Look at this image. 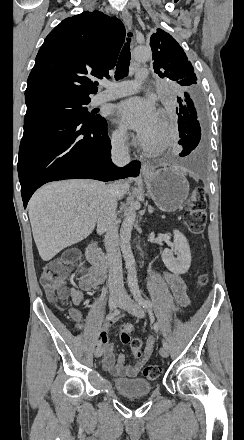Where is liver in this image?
<instances>
[{"mask_svg":"<svg viewBox=\"0 0 244 440\" xmlns=\"http://www.w3.org/2000/svg\"><path fill=\"white\" fill-rule=\"evenodd\" d=\"M106 186L95 180L49 182L33 194L29 220L34 242L44 262L58 252L92 234ZM129 190L128 182H117V198Z\"/></svg>","mask_w":244,"mask_h":440,"instance_id":"liver-1","label":"liver"}]
</instances>
